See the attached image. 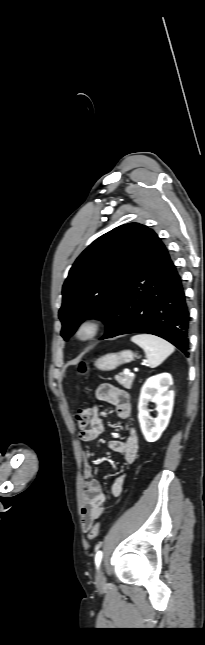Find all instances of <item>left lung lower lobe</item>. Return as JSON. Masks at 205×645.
<instances>
[{
  "instance_id": "obj_1",
  "label": "left lung lower lobe",
  "mask_w": 205,
  "mask_h": 645,
  "mask_svg": "<svg viewBox=\"0 0 205 645\" xmlns=\"http://www.w3.org/2000/svg\"><path fill=\"white\" fill-rule=\"evenodd\" d=\"M189 311L181 278L165 245L149 229L129 273L117 329L108 337L148 333L188 356Z\"/></svg>"
}]
</instances>
